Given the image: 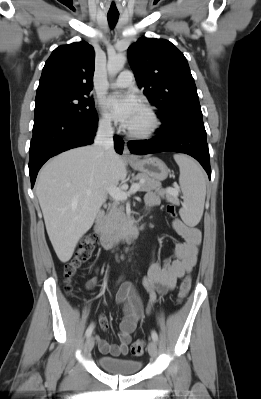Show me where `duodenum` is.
<instances>
[{
  "label": "duodenum",
  "mask_w": 261,
  "mask_h": 399,
  "mask_svg": "<svg viewBox=\"0 0 261 399\" xmlns=\"http://www.w3.org/2000/svg\"><path fill=\"white\" fill-rule=\"evenodd\" d=\"M141 220L142 217H136L132 219L122 231L111 233L106 228L104 213L99 211L94 225V232L98 237L101 247L111 248L120 241L135 239L141 227Z\"/></svg>",
  "instance_id": "1"
}]
</instances>
